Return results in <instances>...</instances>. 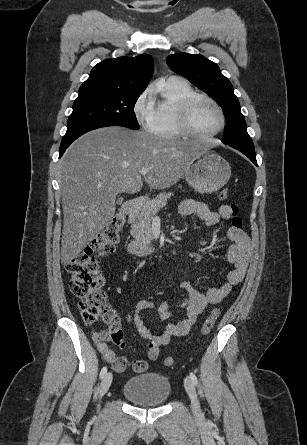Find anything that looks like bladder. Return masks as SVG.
I'll return each instance as SVG.
<instances>
[{
    "instance_id": "obj_1",
    "label": "bladder",
    "mask_w": 307,
    "mask_h": 445,
    "mask_svg": "<svg viewBox=\"0 0 307 445\" xmlns=\"http://www.w3.org/2000/svg\"><path fill=\"white\" fill-rule=\"evenodd\" d=\"M124 396L136 405L152 408L165 404L171 394V384L164 375L146 372L130 377L123 386Z\"/></svg>"
}]
</instances>
